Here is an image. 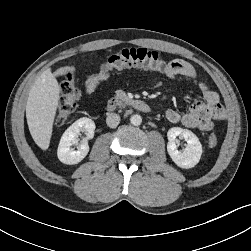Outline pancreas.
I'll return each mask as SVG.
<instances>
[{"label": "pancreas", "mask_w": 251, "mask_h": 251, "mask_svg": "<svg viewBox=\"0 0 251 251\" xmlns=\"http://www.w3.org/2000/svg\"><path fill=\"white\" fill-rule=\"evenodd\" d=\"M115 93H116L115 97L117 99H122V100H127L128 99L126 93L123 90H117Z\"/></svg>", "instance_id": "cf45deb5"}]
</instances>
